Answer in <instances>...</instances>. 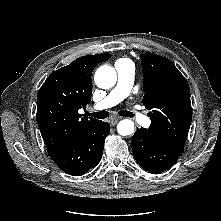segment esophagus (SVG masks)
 <instances>
[{
	"label": "esophagus",
	"mask_w": 221,
	"mask_h": 221,
	"mask_svg": "<svg viewBox=\"0 0 221 221\" xmlns=\"http://www.w3.org/2000/svg\"><path fill=\"white\" fill-rule=\"evenodd\" d=\"M120 119H121L120 117H112V118L110 119L111 125H112V126H115V125L119 122Z\"/></svg>",
	"instance_id": "1"
}]
</instances>
